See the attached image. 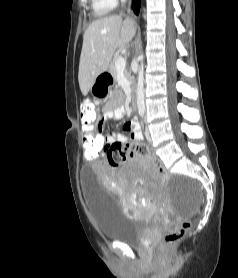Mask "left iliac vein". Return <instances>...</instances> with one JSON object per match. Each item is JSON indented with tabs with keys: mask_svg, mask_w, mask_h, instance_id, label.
Wrapping results in <instances>:
<instances>
[{
	"mask_svg": "<svg viewBox=\"0 0 238 278\" xmlns=\"http://www.w3.org/2000/svg\"><path fill=\"white\" fill-rule=\"evenodd\" d=\"M145 136H146V138H147V140H148L149 142L152 141L150 131H149V129H148L147 127H146V129H145Z\"/></svg>",
	"mask_w": 238,
	"mask_h": 278,
	"instance_id": "4c4485c4",
	"label": "left iliac vein"
}]
</instances>
